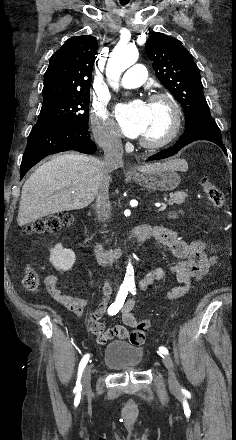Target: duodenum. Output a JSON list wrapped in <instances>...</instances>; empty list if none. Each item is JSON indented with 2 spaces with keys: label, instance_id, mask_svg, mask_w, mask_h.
Returning a JSON list of instances; mask_svg holds the SVG:
<instances>
[{
  "label": "duodenum",
  "instance_id": "410a0bca",
  "mask_svg": "<svg viewBox=\"0 0 236 440\" xmlns=\"http://www.w3.org/2000/svg\"><path fill=\"white\" fill-rule=\"evenodd\" d=\"M154 227L150 225H140L137 226L131 232L129 241L134 245H139L146 239H149L153 235ZM93 253L98 261V263L102 266H112L117 259H119L124 253V249L119 248L114 251L106 250L103 245L97 241L92 242L91 244Z\"/></svg>",
  "mask_w": 236,
  "mask_h": 440
}]
</instances>
